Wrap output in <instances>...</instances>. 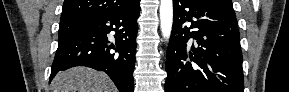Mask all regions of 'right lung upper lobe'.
Returning a JSON list of instances; mask_svg holds the SVG:
<instances>
[{
    "instance_id": "1",
    "label": "right lung upper lobe",
    "mask_w": 289,
    "mask_h": 92,
    "mask_svg": "<svg viewBox=\"0 0 289 92\" xmlns=\"http://www.w3.org/2000/svg\"><path fill=\"white\" fill-rule=\"evenodd\" d=\"M135 0H65L61 25L81 24L91 18L125 8Z\"/></svg>"
}]
</instances>
